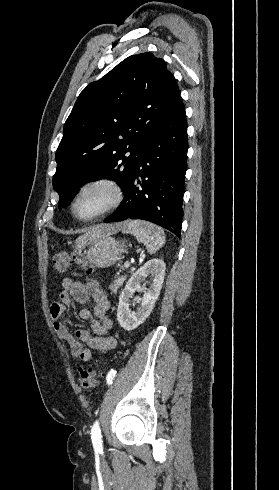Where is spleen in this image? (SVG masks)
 Returning <instances> with one entry per match:
<instances>
[{
    "mask_svg": "<svg viewBox=\"0 0 279 490\" xmlns=\"http://www.w3.org/2000/svg\"><path fill=\"white\" fill-rule=\"evenodd\" d=\"M123 234H133L138 242L145 244L149 254H156L165 242L163 230L151 222L143 220H126L124 222Z\"/></svg>",
    "mask_w": 279,
    "mask_h": 490,
    "instance_id": "obj_1",
    "label": "spleen"
}]
</instances>
